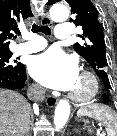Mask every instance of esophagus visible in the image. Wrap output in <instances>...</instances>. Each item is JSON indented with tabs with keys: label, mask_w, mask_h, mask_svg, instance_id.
Wrapping results in <instances>:
<instances>
[{
	"label": "esophagus",
	"mask_w": 117,
	"mask_h": 136,
	"mask_svg": "<svg viewBox=\"0 0 117 136\" xmlns=\"http://www.w3.org/2000/svg\"><path fill=\"white\" fill-rule=\"evenodd\" d=\"M40 21H41L42 24L49 25V26H51V25L53 24L52 21H51V19H50V17L48 16V14H44V15L41 17V20H40ZM57 101H58L57 97H54V96H52V95H48V96L46 97V103H47V105L50 106V107L55 106L56 103H57Z\"/></svg>",
	"instance_id": "34e87169"
}]
</instances>
